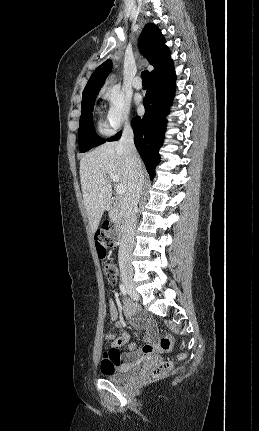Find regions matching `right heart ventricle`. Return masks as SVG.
<instances>
[{"label":"right heart ventricle","mask_w":259,"mask_h":431,"mask_svg":"<svg viewBox=\"0 0 259 431\" xmlns=\"http://www.w3.org/2000/svg\"><path fill=\"white\" fill-rule=\"evenodd\" d=\"M99 129L102 131V132H104L105 131V126L103 125V124H99Z\"/></svg>","instance_id":"right-heart-ventricle-1"}]
</instances>
